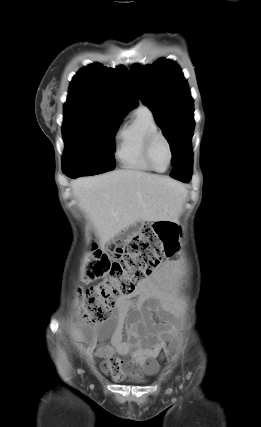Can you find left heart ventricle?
Segmentation results:
<instances>
[{
  "label": "left heart ventricle",
  "instance_id": "1",
  "mask_svg": "<svg viewBox=\"0 0 261 427\" xmlns=\"http://www.w3.org/2000/svg\"><path fill=\"white\" fill-rule=\"evenodd\" d=\"M152 161L155 167L159 170H164L169 162V151L166 143L158 138L152 147Z\"/></svg>",
  "mask_w": 261,
  "mask_h": 427
}]
</instances>
